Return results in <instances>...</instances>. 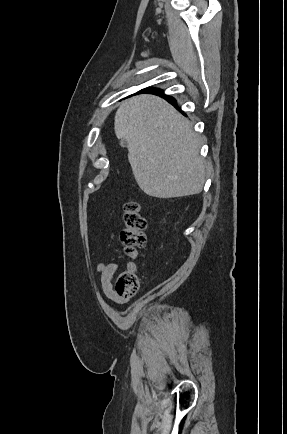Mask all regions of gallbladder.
I'll return each mask as SVG.
<instances>
[{"mask_svg":"<svg viewBox=\"0 0 287 434\" xmlns=\"http://www.w3.org/2000/svg\"><path fill=\"white\" fill-rule=\"evenodd\" d=\"M120 146L121 147H127V141L125 139L120 140Z\"/></svg>","mask_w":287,"mask_h":434,"instance_id":"bac80fb5","label":"gallbladder"}]
</instances>
